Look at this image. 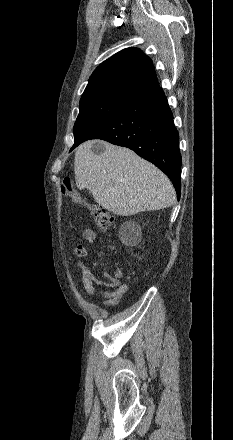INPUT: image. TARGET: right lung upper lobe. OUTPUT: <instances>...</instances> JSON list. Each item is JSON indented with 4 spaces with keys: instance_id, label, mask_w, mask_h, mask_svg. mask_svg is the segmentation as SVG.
Returning a JSON list of instances; mask_svg holds the SVG:
<instances>
[{
    "instance_id": "obj_1",
    "label": "right lung upper lobe",
    "mask_w": 233,
    "mask_h": 440,
    "mask_svg": "<svg viewBox=\"0 0 233 440\" xmlns=\"http://www.w3.org/2000/svg\"><path fill=\"white\" fill-rule=\"evenodd\" d=\"M157 87L151 59L138 48H126L95 69L80 102L113 100L128 103Z\"/></svg>"
}]
</instances>
